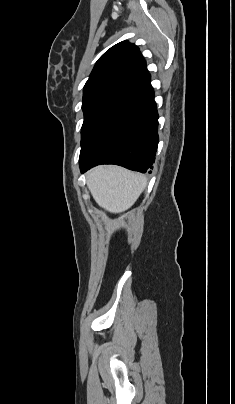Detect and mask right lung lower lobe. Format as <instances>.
<instances>
[{"label":"right lung lower lobe","mask_w":235,"mask_h":404,"mask_svg":"<svg viewBox=\"0 0 235 404\" xmlns=\"http://www.w3.org/2000/svg\"><path fill=\"white\" fill-rule=\"evenodd\" d=\"M158 114L150 74L131 83L82 143V173L99 164L146 172L158 145Z\"/></svg>","instance_id":"1"}]
</instances>
